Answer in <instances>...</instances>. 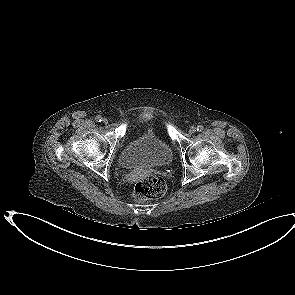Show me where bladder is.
<instances>
[{"instance_id":"31cf9c89","label":"bladder","mask_w":295,"mask_h":295,"mask_svg":"<svg viewBox=\"0 0 295 295\" xmlns=\"http://www.w3.org/2000/svg\"><path fill=\"white\" fill-rule=\"evenodd\" d=\"M172 159L170 145L153 132H146L130 141L119 155L121 166L127 169L166 166Z\"/></svg>"}]
</instances>
